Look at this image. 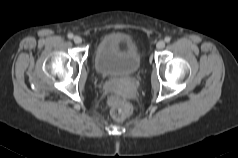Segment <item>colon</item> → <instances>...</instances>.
<instances>
[{
    "label": "colon",
    "mask_w": 238,
    "mask_h": 158,
    "mask_svg": "<svg viewBox=\"0 0 238 158\" xmlns=\"http://www.w3.org/2000/svg\"><path fill=\"white\" fill-rule=\"evenodd\" d=\"M111 115L116 120H123L131 113L130 104L118 96H111L109 99Z\"/></svg>",
    "instance_id": "5ec220e1"
}]
</instances>
